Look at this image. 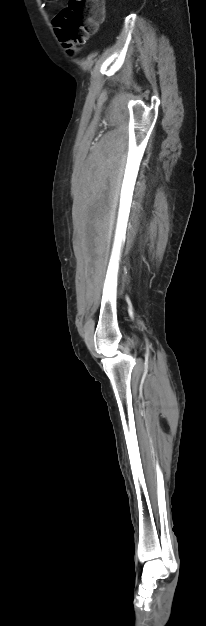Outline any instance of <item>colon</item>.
<instances>
[{
	"instance_id": "obj_1",
	"label": "colon",
	"mask_w": 206,
	"mask_h": 626,
	"mask_svg": "<svg viewBox=\"0 0 206 626\" xmlns=\"http://www.w3.org/2000/svg\"><path fill=\"white\" fill-rule=\"evenodd\" d=\"M103 19V0H69L53 22L59 40L72 52L98 29Z\"/></svg>"
}]
</instances>
